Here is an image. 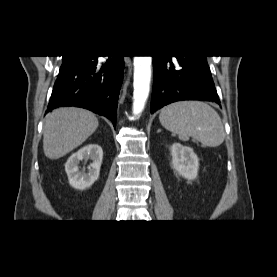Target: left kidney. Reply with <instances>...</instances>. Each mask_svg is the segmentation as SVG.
I'll list each match as a JSON object with an SVG mask.
<instances>
[{
	"mask_svg": "<svg viewBox=\"0 0 277 277\" xmlns=\"http://www.w3.org/2000/svg\"><path fill=\"white\" fill-rule=\"evenodd\" d=\"M173 169L182 177L194 180L198 175L199 159L193 149L174 143L171 147Z\"/></svg>",
	"mask_w": 277,
	"mask_h": 277,
	"instance_id": "obj_1",
	"label": "left kidney"
}]
</instances>
